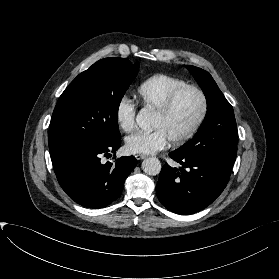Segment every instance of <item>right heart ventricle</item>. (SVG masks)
<instances>
[{"label":"right heart ventricle","mask_w":279,"mask_h":279,"mask_svg":"<svg viewBox=\"0 0 279 279\" xmlns=\"http://www.w3.org/2000/svg\"><path fill=\"white\" fill-rule=\"evenodd\" d=\"M186 84L184 80L178 77L156 74L145 79L138 86L137 93L145 108L156 111L174 89Z\"/></svg>","instance_id":"obj_1"}]
</instances>
